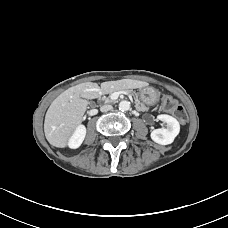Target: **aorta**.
I'll use <instances>...</instances> for the list:
<instances>
[{
  "label": "aorta",
  "instance_id": "aorta-1",
  "mask_svg": "<svg viewBox=\"0 0 228 228\" xmlns=\"http://www.w3.org/2000/svg\"><path fill=\"white\" fill-rule=\"evenodd\" d=\"M130 109V102L123 100L119 103V110L128 111Z\"/></svg>",
  "mask_w": 228,
  "mask_h": 228
}]
</instances>
